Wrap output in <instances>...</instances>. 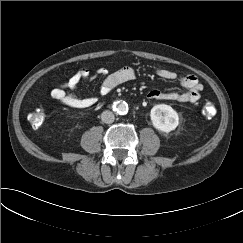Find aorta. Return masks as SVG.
<instances>
[{"mask_svg": "<svg viewBox=\"0 0 243 243\" xmlns=\"http://www.w3.org/2000/svg\"><path fill=\"white\" fill-rule=\"evenodd\" d=\"M128 110H129V107H128V104L125 101L118 102L115 105V111L119 115H125V114H127L128 113Z\"/></svg>", "mask_w": 243, "mask_h": 243, "instance_id": "aorta-1", "label": "aorta"}]
</instances>
